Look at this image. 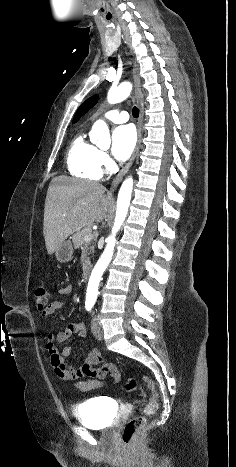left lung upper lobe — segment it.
<instances>
[{
    "instance_id": "obj_1",
    "label": "left lung upper lobe",
    "mask_w": 236,
    "mask_h": 467,
    "mask_svg": "<svg viewBox=\"0 0 236 467\" xmlns=\"http://www.w3.org/2000/svg\"><path fill=\"white\" fill-rule=\"evenodd\" d=\"M98 95H94L87 99L81 106L78 108V110L75 113V116L73 118V123L77 122L86 112L89 111L90 108H92L98 100Z\"/></svg>"
}]
</instances>
